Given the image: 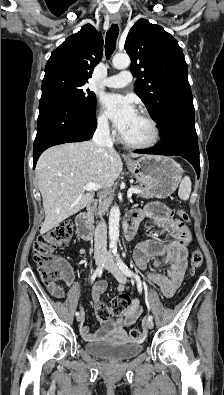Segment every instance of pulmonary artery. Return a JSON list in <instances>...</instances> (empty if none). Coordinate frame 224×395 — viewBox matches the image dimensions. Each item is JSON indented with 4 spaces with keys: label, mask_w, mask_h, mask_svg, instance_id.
<instances>
[{
    "label": "pulmonary artery",
    "mask_w": 224,
    "mask_h": 395,
    "mask_svg": "<svg viewBox=\"0 0 224 395\" xmlns=\"http://www.w3.org/2000/svg\"><path fill=\"white\" fill-rule=\"evenodd\" d=\"M131 74L129 71L125 70L117 75L105 78L102 84L109 88H123L126 87L131 82Z\"/></svg>",
    "instance_id": "pulmonary-artery-1"
}]
</instances>
